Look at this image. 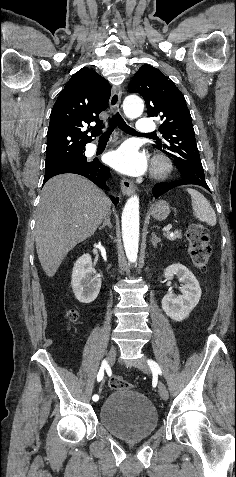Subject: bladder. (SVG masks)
<instances>
[{
	"instance_id": "1",
	"label": "bladder",
	"mask_w": 236,
	"mask_h": 477,
	"mask_svg": "<svg viewBox=\"0 0 236 477\" xmlns=\"http://www.w3.org/2000/svg\"><path fill=\"white\" fill-rule=\"evenodd\" d=\"M100 422L123 440L148 438L158 426V413L146 395L133 389H115L99 405Z\"/></svg>"
}]
</instances>
